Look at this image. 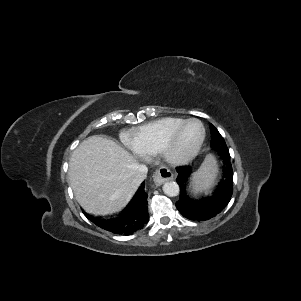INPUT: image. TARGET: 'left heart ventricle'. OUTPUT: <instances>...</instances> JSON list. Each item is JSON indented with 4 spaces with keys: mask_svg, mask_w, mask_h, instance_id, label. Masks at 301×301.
I'll return each instance as SVG.
<instances>
[{
    "mask_svg": "<svg viewBox=\"0 0 301 301\" xmlns=\"http://www.w3.org/2000/svg\"><path fill=\"white\" fill-rule=\"evenodd\" d=\"M202 135L199 123L191 122L184 127L174 146V153L184 155L190 152L198 143Z\"/></svg>",
    "mask_w": 301,
    "mask_h": 301,
    "instance_id": "1",
    "label": "left heart ventricle"
}]
</instances>
